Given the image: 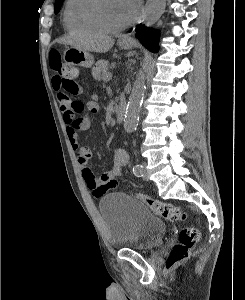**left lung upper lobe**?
<instances>
[{
    "instance_id": "obj_1",
    "label": "left lung upper lobe",
    "mask_w": 245,
    "mask_h": 300,
    "mask_svg": "<svg viewBox=\"0 0 245 300\" xmlns=\"http://www.w3.org/2000/svg\"><path fill=\"white\" fill-rule=\"evenodd\" d=\"M64 0H56L55 2V8H54V12L58 13L60 11V8L62 6Z\"/></svg>"
}]
</instances>
